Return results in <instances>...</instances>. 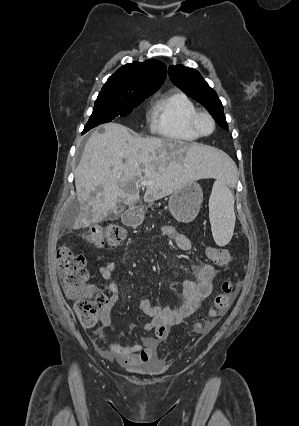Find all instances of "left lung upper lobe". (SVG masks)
I'll return each mask as SVG.
<instances>
[{
    "label": "left lung upper lobe",
    "mask_w": 299,
    "mask_h": 426,
    "mask_svg": "<svg viewBox=\"0 0 299 426\" xmlns=\"http://www.w3.org/2000/svg\"><path fill=\"white\" fill-rule=\"evenodd\" d=\"M169 77L188 96L203 104L222 128L228 129L220 99L198 71L182 65L170 66Z\"/></svg>",
    "instance_id": "left-lung-upper-lobe-1"
}]
</instances>
